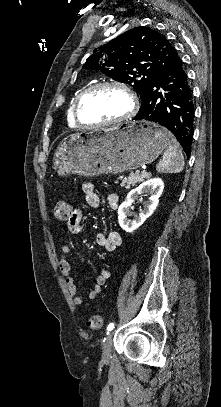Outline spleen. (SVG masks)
Listing matches in <instances>:
<instances>
[{
	"label": "spleen",
	"mask_w": 221,
	"mask_h": 407,
	"mask_svg": "<svg viewBox=\"0 0 221 407\" xmlns=\"http://www.w3.org/2000/svg\"><path fill=\"white\" fill-rule=\"evenodd\" d=\"M184 164L180 145L174 137H171L162 160L156 165V170L161 173H179L183 170Z\"/></svg>",
	"instance_id": "1"
}]
</instances>
